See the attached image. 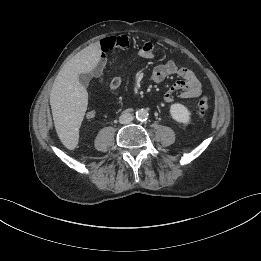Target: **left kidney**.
I'll list each match as a JSON object with an SVG mask.
<instances>
[{"mask_svg": "<svg viewBox=\"0 0 261 261\" xmlns=\"http://www.w3.org/2000/svg\"><path fill=\"white\" fill-rule=\"evenodd\" d=\"M170 114L175 121L183 124H188L191 119V112L187 107L179 103L171 105Z\"/></svg>", "mask_w": 261, "mask_h": 261, "instance_id": "left-kidney-1", "label": "left kidney"}]
</instances>
